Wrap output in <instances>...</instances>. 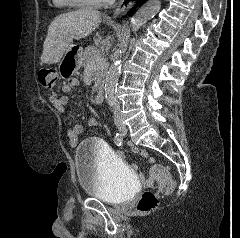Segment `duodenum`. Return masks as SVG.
Masks as SVG:
<instances>
[{"label": "duodenum", "mask_w": 240, "mask_h": 238, "mask_svg": "<svg viewBox=\"0 0 240 238\" xmlns=\"http://www.w3.org/2000/svg\"><path fill=\"white\" fill-rule=\"evenodd\" d=\"M103 99H104V89H103V87H100L95 95L94 100L97 104H100L103 102Z\"/></svg>", "instance_id": "1"}]
</instances>
